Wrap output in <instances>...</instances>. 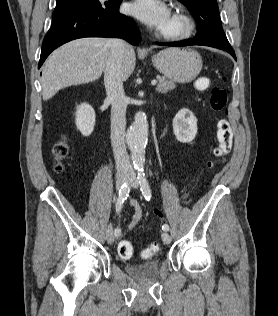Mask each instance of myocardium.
Segmentation results:
<instances>
[{
	"label": "myocardium",
	"mask_w": 278,
	"mask_h": 316,
	"mask_svg": "<svg viewBox=\"0 0 278 316\" xmlns=\"http://www.w3.org/2000/svg\"><path fill=\"white\" fill-rule=\"evenodd\" d=\"M171 18L176 22L173 29L160 28L157 35L168 41H179L189 38L195 28V24L191 16L181 7H175L171 13Z\"/></svg>",
	"instance_id": "1"
}]
</instances>
